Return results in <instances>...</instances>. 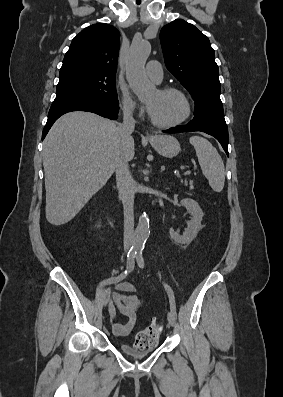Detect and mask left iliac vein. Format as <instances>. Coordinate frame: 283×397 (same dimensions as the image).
<instances>
[{"mask_svg":"<svg viewBox=\"0 0 283 397\" xmlns=\"http://www.w3.org/2000/svg\"><path fill=\"white\" fill-rule=\"evenodd\" d=\"M167 319H168V322H169V324H170L171 326H174V325H175V323H176V316H175V314H174L172 311H170V312L168 313Z\"/></svg>","mask_w":283,"mask_h":397,"instance_id":"4c4485c4","label":"left iliac vein"}]
</instances>
